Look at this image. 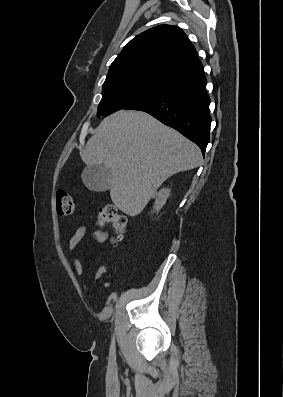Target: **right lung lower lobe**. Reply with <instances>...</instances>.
<instances>
[{
    "label": "right lung lower lobe",
    "mask_w": 283,
    "mask_h": 397,
    "mask_svg": "<svg viewBox=\"0 0 283 397\" xmlns=\"http://www.w3.org/2000/svg\"><path fill=\"white\" fill-rule=\"evenodd\" d=\"M206 84L201 69L166 83L124 109L149 113L196 143L204 155L212 121Z\"/></svg>",
    "instance_id": "obj_1"
}]
</instances>
